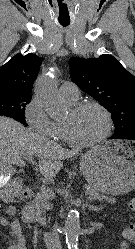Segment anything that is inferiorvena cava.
Masks as SVG:
<instances>
[{"instance_id":"602c4592","label":"inferior vena cava","mask_w":135,"mask_h":249,"mask_svg":"<svg viewBox=\"0 0 135 249\" xmlns=\"http://www.w3.org/2000/svg\"><path fill=\"white\" fill-rule=\"evenodd\" d=\"M48 248L49 249H62L60 240L54 232L51 234Z\"/></svg>"}]
</instances>
